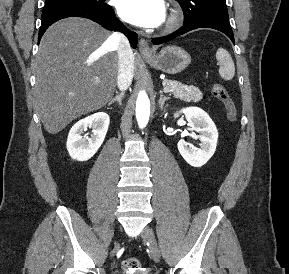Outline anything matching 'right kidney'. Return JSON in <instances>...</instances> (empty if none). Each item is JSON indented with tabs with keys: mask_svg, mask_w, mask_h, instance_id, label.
<instances>
[{
	"mask_svg": "<svg viewBox=\"0 0 289 274\" xmlns=\"http://www.w3.org/2000/svg\"><path fill=\"white\" fill-rule=\"evenodd\" d=\"M110 123L105 112L94 113L79 120L69 131L66 147L72 159L87 161L95 155L102 145ZM87 128L92 129L90 136H83Z\"/></svg>",
	"mask_w": 289,
	"mask_h": 274,
	"instance_id": "1",
	"label": "right kidney"
}]
</instances>
